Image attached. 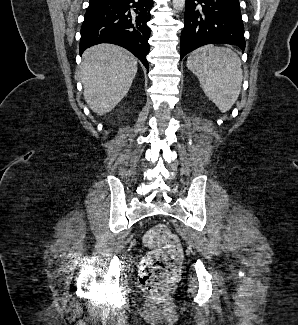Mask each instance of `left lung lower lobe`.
<instances>
[{"mask_svg":"<svg viewBox=\"0 0 298 325\" xmlns=\"http://www.w3.org/2000/svg\"><path fill=\"white\" fill-rule=\"evenodd\" d=\"M226 43L245 49L239 0H186L181 59L194 49Z\"/></svg>","mask_w":298,"mask_h":325,"instance_id":"obj_1","label":"left lung lower lobe"}]
</instances>
